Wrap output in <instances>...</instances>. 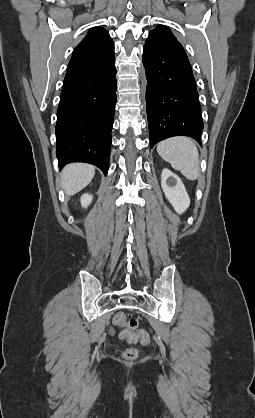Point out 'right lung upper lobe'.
I'll return each mask as SVG.
<instances>
[{
  "label": "right lung upper lobe",
  "instance_id": "right-lung-upper-lobe-1",
  "mask_svg": "<svg viewBox=\"0 0 255 418\" xmlns=\"http://www.w3.org/2000/svg\"><path fill=\"white\" fill-rule=\"evenodd\" d=\"M114 57V44L104 28L94 27L74 49L67 69L89 66Z\"/></svg>",
  "mask_w": 255,
  "mask_h": 418
}]
</instances>
